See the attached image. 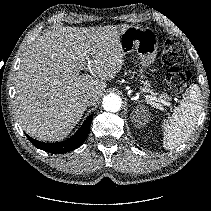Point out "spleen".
<instances>
[{"label": "spleen", "instance_id": "obj_1", "mask_svg": "<svg viewBox=\"0 0 211 211\" xmlns=\"http://www.w3.org/2000/svg\"><path fill=\"white\" fill-rule=\"evenodd\" d=\"M203 96L197 84H192L183 95L180 105L170 119L162 123L163 147L174 149L193 133L202 111Z\"/></svg>", "mask_w": 211, "mask_h": 211}]
</instances>
